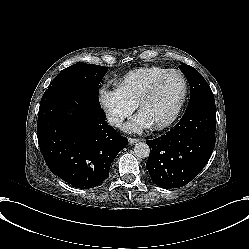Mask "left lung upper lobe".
Here are the masks:
<instances>
[{
  "label": "left lung upper lobe",
  "mask_w": 249,
  "mask_h": 249,
  "mask_svg": "<svg viewBox=\"0 0 249 249\" xmlns=\"http://www.w3.org/2000/svg\"><path fill=\"white\" fill-rule=\"evenodd\" d=\"M190 85V101L186 111L195 109L203 104H215L213 93L203 76L193 67L182 64L179 66Z\"/></svg>",
  "instance_id": "1"
}]
</instances>
